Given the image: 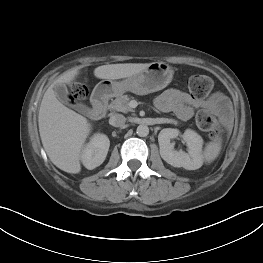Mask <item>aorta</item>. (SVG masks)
<instances>
[{
	"instance_id": "762f6f07",
	"label": "aorta",
	"mask_w": 263,
	"mask_h": 263,
	"mask_svg": "<svg viewBox=\"0 0 263 263\" xmlns=\"http://www.w3.org/2000/svg\"><path fill=\"white\" fill-rule=\"evenodd\" d=\"M136 133L140 137H146L149 134V127L147 125H139L136 129Z\"/></svg>"
}]
</instances>
